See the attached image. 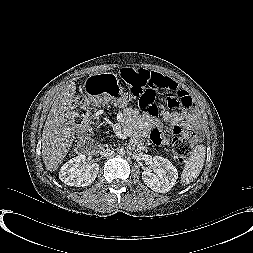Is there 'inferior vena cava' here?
Listing matches in <instances>:
<instances>
[{
    "mask_svg": "<svg viewBox=\"0 0 253 253\" xmlns=\"http://www.w3.org/2000/svg\"><path fill=\"white\" fill-rule=\"evenodd\" d=\"M113 154V151L112 150H106L103 155L107 158H110Z\"/></svg>",
    "mask_w": 253,
    "mask_h": 253,
    "instance_id": "obj_1",
    "label": "inferior vena cava"
}]
</instances>
